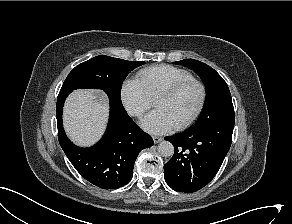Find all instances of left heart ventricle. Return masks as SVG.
<instances>
[{
    "label": "left heart ventricle",
    "instance_id": "1",
    "mask_svg": "<svg viewBox=\"0 0 292 224\" xmlns=\"http://www.w3.org/2000/svg\"><path fill=\"white\" fill-rule=\"evenodd\" d=\"M199 101V88L196 85H190L173 97L157 99L155 106L164 110L176 126L192 115Z\"/></svg>",
    "mask_w": 292,
    "mask_h": 224
}]
</instances>
